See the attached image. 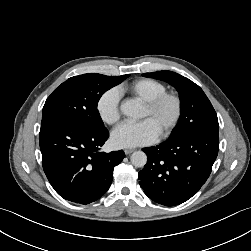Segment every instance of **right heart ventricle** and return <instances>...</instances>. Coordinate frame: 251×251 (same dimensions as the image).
I'll use <instances>...</instances> for the list:
<instances>
[{
    "mask_svg": "<svg viewBox=\"0 0 251 251\" xmlns=\"http://www.w3.org/2000/svg\"><path fill=\"white\" fill-rule=\"evenodd\" d=\"M165 91L164 83L150 78L138 79L119 88V92L128 93L143 102H147Z\"/></svg>",
    "mask_w": 251,
    "mask_h": 251,
    "instance_id": "e07e8e85",
    "label": "right heart ventricle"
}]
</instances>
